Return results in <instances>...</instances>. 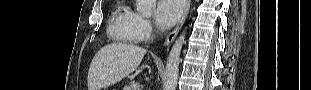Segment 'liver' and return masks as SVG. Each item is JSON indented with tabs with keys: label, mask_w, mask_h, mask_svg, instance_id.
<instances>
[{
	"label": "liver",
	"mask_w": 311,
	"mask_h": 90,
	"mask_svg": "<svg viewBox=\"0 0 311 90\" xmlns=\"http://www.w3.org/2000/svg\"><path fill=\"white\" fill-rule=\"evenodd\" d=\"M147 50L125 43H112L94 56L88 71V90L111 86L137 69Z\"/></svg>",
	"instance_id": "liver-1"
}]
</instances>
